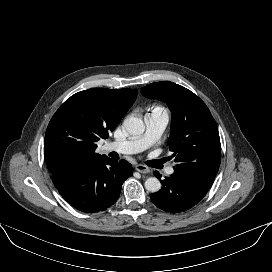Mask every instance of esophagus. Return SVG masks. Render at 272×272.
<instances>
[{
    "instance_id": "34e87169",
    "label": "esophagus",
    "mask_w": 272,
    "mask_h": 272,
    "mask_svg": "<svg viewBox=\"0 0 272 272\" xmlns=\"http://www.w3.org/2000/svg\"><path fill=\"white\" fill-rule=\"evenodd\" d=\"M135 170L139 173H142V174H147L150 172L149 168L147 166H144V165H141V164H138L135 166Z\"/></svg>"
}]
</instances>
